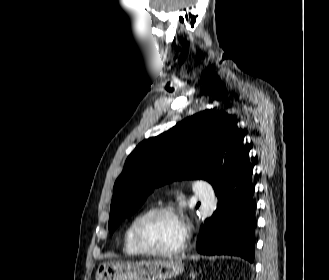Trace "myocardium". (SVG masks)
<instances>
[{
	"label": "myocardium",
	"mask_w": 329,
	"mask_h": 280,
	"mask_svg": "<svg viewBox=\"0 0 329 280\" xmlns=\"http://www.w3.org/2000/svg\"><path fill=\"white\" fill-rule=\"evenodd\" d=\"M161 214H168L174 216L179 220L183 228V238L181 242L179 243V245H177L172 249H168V250L155 249L154 247L150 246L144 239V230L146 225L149 223V221L152 218ZM133 240L137 248L143 254L155 256V257H169V256L177 255L182 251H184L189 240V233L185 228L180 213L178 212L177 209L171 206H158L148 210L139 218L133 230Z\"/></svg>",
	"instance_id": "obj_1"
}]
</instances>
